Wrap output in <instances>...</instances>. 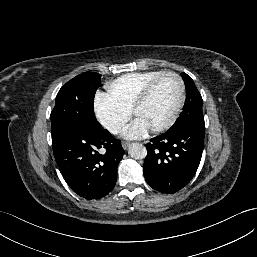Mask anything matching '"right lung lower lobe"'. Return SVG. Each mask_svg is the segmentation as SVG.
<instances>
[{
	"label": "right lung lower lobe",
	"mask_w": 257,
	"mask_h": 257,
	"mask_svg": "<svg viewBox=\"0 0 257 257\" xmlns=\"http://www.w3.org/2000/svg\"><path fill=\"white\" fill-rule=\"evenodd\" d=\"M52 146L59 170L76 194L99 199L114 188L125 152L108 130L68 131L52 140Z\"/></svg>",
	"instance_id": "obj_1"
}]
</instances>
